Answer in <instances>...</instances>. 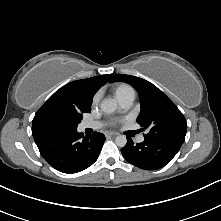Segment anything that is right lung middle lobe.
Instances as JSON below:
<instances>
[{
  "mask_svg": "<svg viewBox=\"0 0 221 221\" xmlns=\"http://www.w3.org/2000/svg\"><path fill=\"white\" fill-rule=\"evenodd\" d=\"M82 116L50 113L41 121V130L47 134H55L64 131L76 130Z\"/></svg>",
  "mask_w": 221,
  "mask_h": 221,
  "instance_id": "obj_1",
  "label": "right lung middle lobe"
}]
</instances>
